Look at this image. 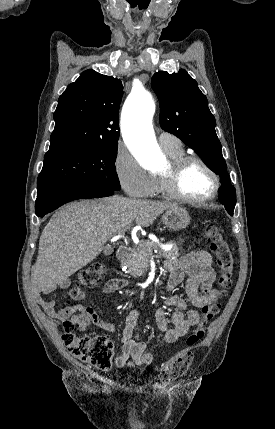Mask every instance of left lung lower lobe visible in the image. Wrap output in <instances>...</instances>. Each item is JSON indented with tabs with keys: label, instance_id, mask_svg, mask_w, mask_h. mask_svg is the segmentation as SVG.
I'll list each match as a JSON object with an SVG mask.
<instances>
[{
	"label": "left lung lower lobe",
	"instance_id": "1",
	"mask_svg": "<svg viewBox=\"0 0 275 429\" xmlns=\"http://www.w3.org/2000/svg\"><path fill=\"white\" fill-rule=\"evenodd\" d=\"M219 194H220L219 199L222 198V197H225L226 194H227L226 188L225 187H221V189L219 190Z\"/></svg>",
	"mask_w": 275,
	"mask_h": 429
}]
</instances>
